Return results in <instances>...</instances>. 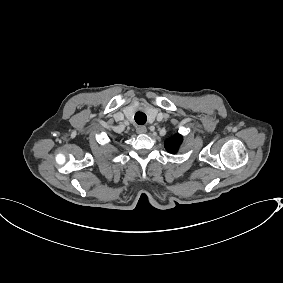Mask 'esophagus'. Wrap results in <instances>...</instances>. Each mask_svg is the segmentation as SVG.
I'll return each instance as SVG.
<instances>
[{
	"label": "esophagus",
	"instance_id": "esophagus-1",
	"mask_svg": "<svg viewBox=\"0 0 283 283\" xmlns=\"http://www.w3.org/2000/svg\"><path fill=\"white\" fill-rule=\"evenodd\" d=\"M136 132H137L138 134H144V133L147 132V129H146L145 126H139V127L136 129Z\"/></svg>",
	"mask_w": 283,
	"mask_h": 283
}]
</instances>
